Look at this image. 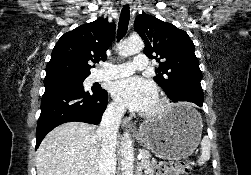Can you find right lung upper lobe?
I'll return each instance as SVG.
<instances>
[{"mask_svg":"<svg viewBox=\"0 0 251 175\" xmlns=\"http://www.w3.org/2000/svg\"><path fill=\"white\" fill-rule=\"evenodd\" d=\"M114 33L115 24L98 18L63 34L53 48L45 80L89 76L90 63L106 59Z\"/></svg>","mask_w":251,"mask_h":175,"instance_id":"cb5924a9","label":"right lung upper lobe"}]
</instances>
